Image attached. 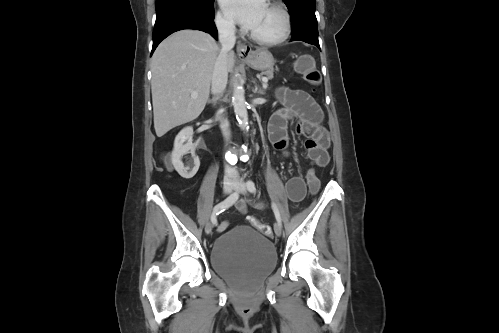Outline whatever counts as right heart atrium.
Here are the masks:
<instances>
[{
  "label": "right heart atrium",
  "mask_w": 499,
  "mask_h": 333,
  "mask_svg": "<svg viewBox=\"0 0 499 333\" xmlns=\"http://www.w3.org/2000/svg\"><path fill=\"white\" fill-rule=\"evenodd\" d=\"M215 25L221 33L231 35L235 32V26L233 22L229 18H227L222 12L216 13Z\"/></svg>",
  "instance_id": "d8ad5b80"
}]
</instances>
